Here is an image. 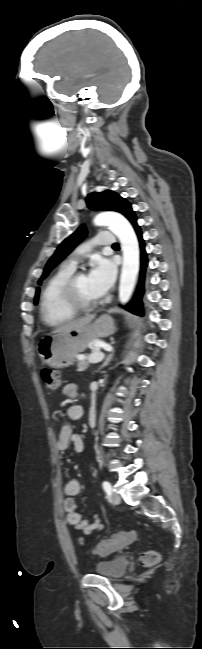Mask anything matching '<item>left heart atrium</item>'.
I'll list each match as a JSON object with an SVG mask.
<instances>
[{
  "mask_svg": "<svg viewBox=\"0 0 202 649\" xmlns=\"http://www.w3.org/2000/svg\"><path fill=\"white\" fill-rule=\"evenodd\" d=\"M115 278L116 266L111 260L103 257L93 260L87 279L95 293L104 295L114 284Z\"/></svg>",
  "mask_w": 202,
  "mask_h": 649,
  "instance_id": "left-heart-atrium-1",
  "label": "left heart atrium"
}]
</instances>
